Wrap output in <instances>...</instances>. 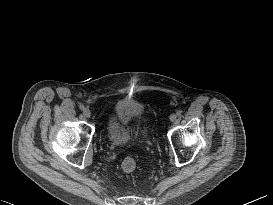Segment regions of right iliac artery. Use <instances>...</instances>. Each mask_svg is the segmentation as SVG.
I'll list each match as a JSON object with an SVG mask.
<instances>
[{"instance_id":"82829eb1","label":"right iliac artery","mask_w":273,"mask_h":205,"mask_svg":"<svg viewBox=\"0 0 273 205\" xmlns=\"http://www.w3.org/2000/svg\"><path fill=\"white\" fill-rule=\"evenodd\" d=\"M79 108L81 109V110H84V105L83 104H79Z\"/></svg>"}]
</instances>
